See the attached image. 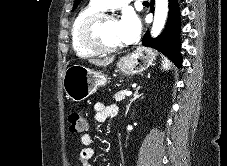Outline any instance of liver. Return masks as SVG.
<instances>
[{
  "instance_id": "obj_1",
  "label": "liver",
  "mask_w": 227,
  "mask_h": 166,
  "mask_svg": "<svg viewBox=\"0 0 227 166\" xmlns=\"http://www.w3.org/2000/svg\"><path fill=\"white\" fill-rule=\"evenodd\" d=\"M88 61L96 66H108L114 61V57H107L104 59H89Z\"/></svg>"
}]
</instances>
